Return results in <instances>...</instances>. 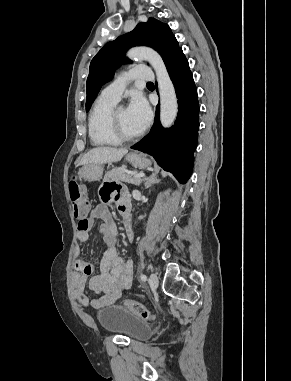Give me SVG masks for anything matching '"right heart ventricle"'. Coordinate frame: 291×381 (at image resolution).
Wrapping results in <instances>:
<instances>
[{
	"label": "right heart ventricle",
	"mask_w": 291,
	"mask_h": 381,
	"mask_svg": "<svg viewBox=\"0 0 291 381\" xmlns=\"http://www.w3.org/2000/svg\"><path fill=\"white\" fill-rule=\"evenodd\" d=\"M117 101L99 96L88 116V135L93 146L106 147L120 144L110 132L109 115Z\"/></svg>",
	"instance_id": "right-heart-ventricle-1"
}]
</instances>
